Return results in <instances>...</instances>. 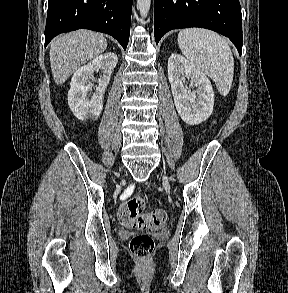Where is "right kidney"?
Here are the masks:
<instances>
[{
  "instance_id": "1",
  "label": "right kidney",
  "mask_w": 288,
  "mask_h": 293,
  "mask_svg": "<svg viewBox=\"0 0 288 293\" xmlns=\"http://www.w3.org/2000/svg\"><path fill=\"white\" fill-rule=\"evenodd\" d=\"M117 62V55L108 52L94 58L74 73L68 92V104L78 119L84 120L88 116L99 117L103 109V95ZM95 71H101L103 75L98 79L95 92L89 95L91 86L88 82Z\"/></svg>"
}]
</instances>
